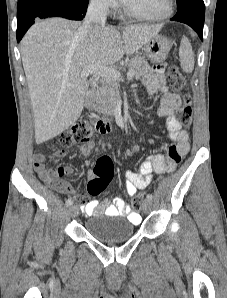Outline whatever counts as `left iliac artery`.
Here are the masks:
<instances>
[{"label":"left iliac artery","instance_id":"left-iliac-artery-1","mask_svg":"<svg viewBox=\"0 0 227 298\" xmlns=\"http://www.w3.org/2000/svg\"><path fill=\"white\" fill-rule=\"evenodd\" d=\"M147 199L152 200L153 199V195L152 194H148L147 195Z\"/></svg>","mask_w":227,"mask_h":298}]
</instances>
